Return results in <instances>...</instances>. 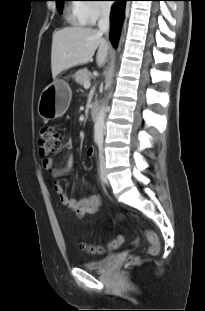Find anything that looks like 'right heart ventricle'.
Here are the masks:
<instances>
[{
  "instance_id": "obj_1",
  "label": "right heart ventricle",
  "mask_w": 205,
  "mask_h": 311,
  "mask_svg": "<svg viewBox=\"0 0 205 311\" xmlns=\"http://www.w3.org/2000/svg\"><path fill=\"white\" fill-rule=\"evenodd\" d=\"M81 4H73L71 6V12L69 14V20L72 24L83 26L87 24L85 17L81 11Z\"/></svg>"
}]
</instances>
